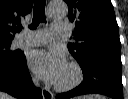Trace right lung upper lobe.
I'll list each match as a JSON object with an SVG mask.
<instances>
[{"instance_id": "obj_1", "label": "right lung upper lobe", "mask_w": 128, "mask_h": 99, "mask_svg": "<svg viewBox=\"0 0 128 99\" xmlns=\"http://www.w3.org/2000/svg\"><path fill=\"white\" fill-rule=\"evenodd\" d=\"M33 0H0V43L11 42L16 24L32 10Z\"/></svg>"}]
</instances>
